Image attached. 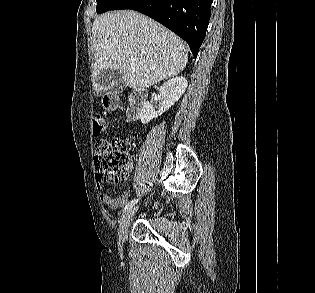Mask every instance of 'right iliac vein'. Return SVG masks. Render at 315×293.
Here are the masks:
<instances>
[{
    "label": "right iliac vein",
    "mask_w": 315,
    "mask_h": 293,
    "mask_svg": "<svg viewBox=\"0 0 315 293\" xmlns=\"http://www.w3.org/2000/svg\"><path fill=\"white\" fill-rule=\"evenodd\" d=\"M136 210H137V207L128 208L121 216V219L119 222V229H118V236L121 242H125L127 240L128 227Z\"/></svg>",
    "instance_id": "1"
}]
</instances>
